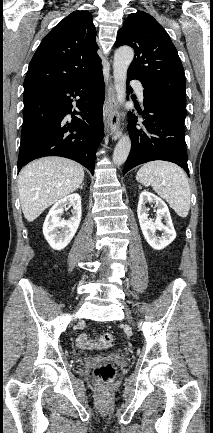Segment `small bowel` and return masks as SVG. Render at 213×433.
Masks as SVG:
<instances>
[{"mask_svg":"<svg viewBox=\"0 0 213 433\" xmlns=\"http://www.w3.org/2000/svg\"><path fill=\"white\" fill-rule=\"evenodd\" d=\"M76 345L81 349H100L107 346L102 337L87 334H80L76 339Z\"/></svg>","mask_w":213,"mask_h":433,"instance_id":"c3829d8e","label":"small bowel"}]
</instances>
